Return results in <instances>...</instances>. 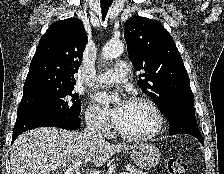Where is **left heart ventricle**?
<instances>
[{"label":"left heart ventricle","mask_w":224,"mask_h":174,"mask_svg":"<svg viewBox=\"0 0 224 174\" xmlns=\"http://www.w3.org/2000/svg\"><path fill=\"white\" fill-rule=\"evenodd\" d=\"M155 125V115L147 105L129 103L118 128L128 134H144L153 130Z\"/></svg>","instance_id":"1"}]
</instances>
